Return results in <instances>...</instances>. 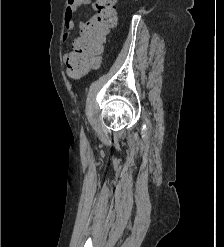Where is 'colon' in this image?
<instances>
[{
  "instance_id": "obj_1",
  "label": "colon",
  "mask_w": 224,
  "mask_h": 247,
  "mask_svg": "<svg viewBox=\"0 0 224 247\" xmlns=\"http://www.w3.org/2000/svg\"><path fill=\"white\" fill-rule=\"evenodd\" d=\"M116 2L117 0H97L96 14L86 22L77 38V51L67 61L70 76L79 77L92 67L90 55L100 51L106 36L116 25Z\"/></svg>"
}]
</instances>
